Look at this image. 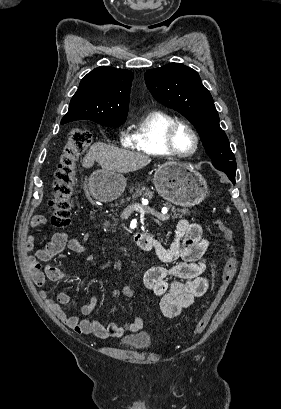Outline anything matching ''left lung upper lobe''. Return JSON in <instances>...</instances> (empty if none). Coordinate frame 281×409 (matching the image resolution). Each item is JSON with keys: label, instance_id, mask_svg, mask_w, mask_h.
I'll list each match as a JSON object with an SVG mask.
<instances>
[{"label": "left lung upper lobe", "instance_id": "1", "mask_svg": "<svg viewBox=\"0 0 281 409\" xmlns=\"http://www.w3.org/2000/svg\"><path fill=\"white\" fill-rule=\"evenodd\" d=\"M145 81L158 102L180 112L194 125L216 169L236 171L235 157L220 128L212 96L195 70L170 63L148 70Z\"/></svg>", "mask_w": 281, "mask_h": 409}]
</instances>
